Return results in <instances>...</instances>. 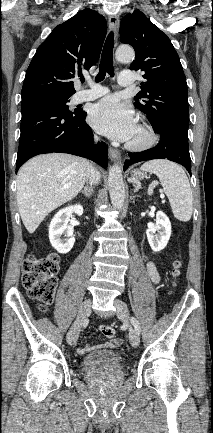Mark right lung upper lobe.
Instances as JSON below:
<instances>
[{"instance_id": "right-lung-upper-lobe-1", "label": "right lung upper lobe", "mask_w": 213, "mask_h": 433, "mask_svg": "<svg viewBox=\"0 0 213 433\" xmlns=\"http://www.w3.org/2000/svg\"><path fill=\"white\" fill-rule=\"evenodd\" d=\"M106 32L105 18L92 9L56 26L27 69L21 97L37 92L73 95V79L98 61Z\"/></svg>"}]
</instances>
